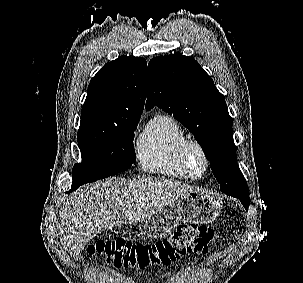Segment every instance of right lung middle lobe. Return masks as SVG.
<instances>
[{
	"label": "right lung middle lobe",
	"mask_w": 303,
	"mask_h": 283,
	"mask_svg": "<svg viewBox=\"0 0 303 283\" xmlns=\"http://www.w3.org/2000/svg\"><path fill=\"white\" fill-rule=\"evenodd\" d=\"M138 122L139 120L115 126L79 127L77 140L82 163L75 164L73 168L71 191L131 167L136 160L133 138Z\"/></svg>",
	"instance_id": "dd1d6c3e"
}]
</instances>
